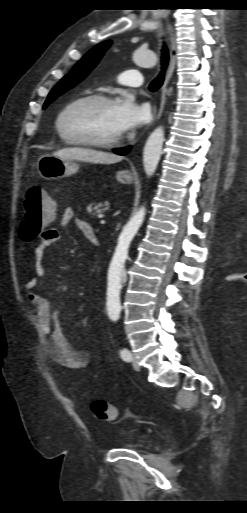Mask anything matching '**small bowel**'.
I'll list each match as a JSON object with an SVG mask.
<instances>
[{"label":"small bowel","mask_w":247,"mask_h":513,"mask_svg":"<svg viewBox=\"0 0 247 513\" xmlns=\"http://www.w3.org/2000/svg\"><path fill=\"white\" fill-rule=\"evenodd\" d=\"M59 224L62 227L73 224L87 238L94 233L92 226L85 220L75 216L71 207H66L60 217ZM58 229L48 227L40 234V243L34 250V276L25 282L28 299L35 311V317L43 333L49 339L47 352L49 357L58 365L72 369H85L90 365V352L74 348L64 334L60 319L51 301L35 292L40 283V278L45 275L46 267L44 257L46 249L60 240Z\"/></svg>","instance_id":"small-bowel-1"}]
</instances>
